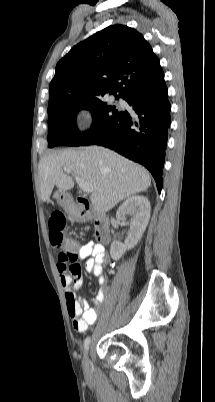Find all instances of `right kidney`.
<instances>
[{
	"instance_id": "ca27d5eb",
	"label": "right kidney",
	"mask_w": 215,
	"mask_h": 402,
	"mask_svg": "<svg viewBox=\"0 0 215 402\" xmlns=\"http://www.w3.org/2000/svg\"><path fill=\"white\" fill-rule=\"evenodd\" d=\"M150 202L144 196H131L127 198L116 212L118 220H126L130 215V230L124 243L113 241L110 247V255L114 260H119L127 250L134 248L143 236L150 219Z\"/></svg>"
}]
</instances>
